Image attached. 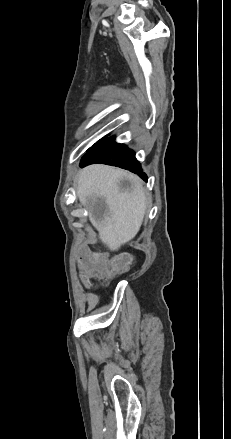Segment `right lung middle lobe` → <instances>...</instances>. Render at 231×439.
I'll list each match as a JSON object with an SVG mask.
<instances>
[{
    "mask_svg": "<svg viewBox=\"0 0 231 439\" xmlns=\"http://www.w3.org/2000/svg\"><path fill=\"white\" fill-rule=\"evenodd\" d=\"M105 138H102L101 140H99L97 143H95L93 146H92V148H94L95 146H97L99 143H101L103 140H104ZM89 150H91V149H89Z\"/></svg>",
    "mask_w": 231,
    "mask_h": 439,
    "instance_id": "1",
    "label": "right lung middle lobe"
}]
</instances>
